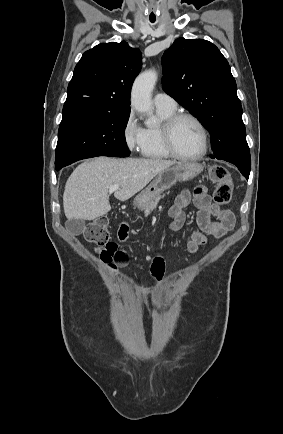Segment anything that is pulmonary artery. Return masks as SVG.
<instances>
[{"label":"pulmonary artery","instance_id":"obj_1","mask_svg":"<svg viewBox=\"0 0 283 434\" xmlns=\"http://www.w3.org/2000/svg\"><path fill=\"white\" fill-rule=\"evenodd\" d=\"M154 104L157 109L175 110L177 108L176 101L166 93H158L154 97Z\"/></svg>","mask_w":283,"mask_h":434}]
</instances>
